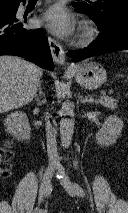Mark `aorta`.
I'll return each instance as SVG.
<instances>
[{"label": "aorta", "mask_w": 128, "mask_h": 213, "mask_svg": "<svg viewBox=\"0 0 128 213\" xmlns=\"http://www.w3.org/2000/svg\"><path fill=\"white\" fill-rule=\"evenodd\" d=\"M59 115L61 116V144L64 148H68L72 142V137L74 133V104L69 101L63 102L61 110L59 111Z\"/></svg>", "instance_id": "aorta-1"}]
</instances>
